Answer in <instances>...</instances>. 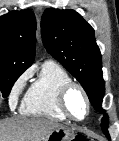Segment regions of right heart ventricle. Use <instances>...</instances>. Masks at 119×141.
Masks as SVG:
<instances>
[{
    "mask_svg": "<svg viewBox=\"0 0 119 141\" xmlns=\"http://www.w3.org/2000/svg\"><path fill=\"white\" fill-rule=\"evenodd\" d=\"M71 81V76L62 66L50 60L44 62L39 75L24 97L22 112L26 115L65 121L67 118L58 105V92L64 84Z\"/></svg>",
    "mask_w": 119,
    "mask_h": 141,
    "instance_id": "right-heart-ventricle-1",
    "label": "right heart ventricle"
}]
</instances>
